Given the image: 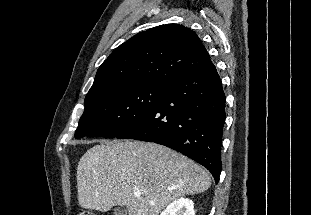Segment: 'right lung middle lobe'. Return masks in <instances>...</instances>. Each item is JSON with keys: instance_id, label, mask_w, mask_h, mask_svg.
Wrapping results in <instances>:
<instances>
[{"instance_id": "right-lung-middle-lobe-1", "label": "right lung middle lobe", "mask_w": 311, "mask_h": 215, "mask_svg": "<svg viewBox=\"0 0 311 215\" xmlns=\"http://www.w3.org/2000/svg\"><path fill=\"white\" fill-rule=\"evenodd\" d=\"M164 93L165 84H137L106 88L86 96L75 138L116 137L149 114Z\"/></svg>"}]
</instances>
